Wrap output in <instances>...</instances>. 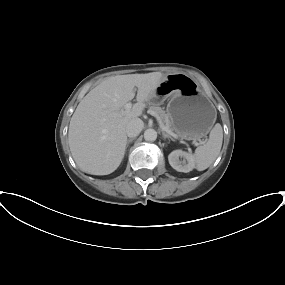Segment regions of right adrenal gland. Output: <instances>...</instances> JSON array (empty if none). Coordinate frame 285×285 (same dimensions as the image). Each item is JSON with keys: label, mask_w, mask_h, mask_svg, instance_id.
<instances>
[{"label": "right adrenal gland", "mask_w": 285, "mask_h": 285, "mask_svg": "<svg viewBox=\"0 0 285 285\" xmlns=\"http://www.w3.org/2000/svg\"><path fill=\"white\" fill-rule=\"evenodd\" d=\"M135 138H130L127 140V147L129 146V143H131Z\"/></svg>", "instance_id": "obj_1"}]
</instances>
